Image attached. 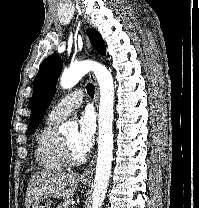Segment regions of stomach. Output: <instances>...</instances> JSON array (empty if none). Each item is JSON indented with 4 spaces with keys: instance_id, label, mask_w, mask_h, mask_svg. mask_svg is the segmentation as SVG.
<instances>
[{
    "instance_id": "stomach-1",
    "label": "stomach",
    "mask_w": 199,
    "mask_h": 208,
    "mask_svg": "<svg viewBox=\"0 0 199 208\" xmlns=\"http://www.w3.org/2000/svg\"><path fill=\"white\" fill-rule=\"evenodd\" d=\"M84 184H87L88 182L85 180H82ZM52 204V201L48 197H41L34 201L32 203L31 208H50Z\"/></svg>"
}]
</instances>
